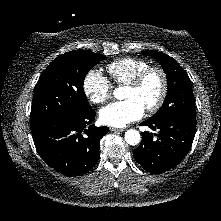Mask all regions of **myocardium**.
<instances>
[{
    "mask_svg": "<svg viewBox=\"0 0 221 221\" xmlns=\"http://www.w3.org/2000/svg\"><path fill=\"white\" fill-rule=\"evenodd\" d=\"M153 73H156L160 76L161 91L156 102L145 108L146 111L150 113L159 110L167 97L169 83L165 70L159 66H149L146 69L142 70L140 73H138L129 83L126 84L128 87L131 88H139L146 80V78Z\"/></svg>",
    "mask_w": 221,
    "mask_h": 221,
    "instance_id": "1",
    "label": "myocardium"
}]
</instances>
